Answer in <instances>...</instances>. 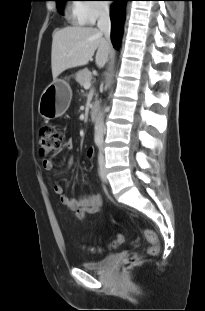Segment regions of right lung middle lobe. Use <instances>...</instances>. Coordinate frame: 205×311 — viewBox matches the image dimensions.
<instances>
[{"label": "right lung middle lobe", "mask_w": 205, "mask_h": 311, "mask_svg": "<svg viewBox=\"0 0 205 311\" xmlns=\"http://www.w3.org/2000/svg\"><path fill=\"white\" fill-rule=\"evenodd\" d=\"M56 1V5H57V9L59 11L60 14L63 13V7H64V3L67 0H55Z\"/></svg>", "instance_id": "obj_1"}]
</instances>
